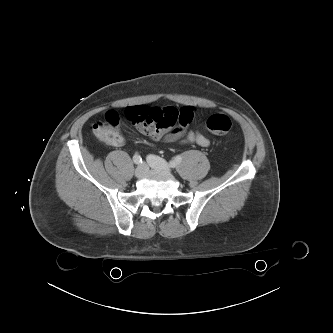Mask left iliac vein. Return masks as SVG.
<instances>
[{"label":"left iliac vein","instance_id":"obj_1","mask_svg":"<svg viewBox=\"0 0 333 333\" xmlns=\"http://www.w3.org/2000/svg\"><path fill=\"white\" fill-rule=\"evenodd\" d=\"M147 162L150 165V167H152L153 169L163 170L166 173L171 172V168L168 165V163L160 157H156V156L151 155V156L148 157Z\"/></svg>","mask_w":333,"mask_h":333}]
</instances>
